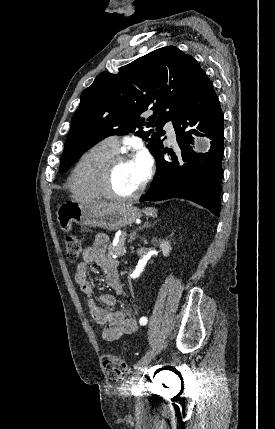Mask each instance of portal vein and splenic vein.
Instances as JSON below:
<instances>
[{
	"mask_svg": "<svg viewBox=\"0 0 275 429\" xmlns=\"http://www.w3.org/2000/svg\"><path fill=\"white\" fill-rule=\"evenodd\" d=\"M122 236H123V238H124V241H125V239H126V234H123Z\"/></svg>",
	"mask_w": 275,
	"mask_h": 429,
	"instance_id": "18ae733b",
	"label": "portal vein and splenic vein"
}]
</instances>
